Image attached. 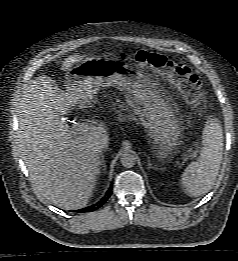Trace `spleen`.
<instances>
[{
    "instance_id": "spleen-1",
    "label": "spleen",
    "mask_w": 238,
    "mask_h": 261,
    "mask_svg": "<svg viewBox=\"0 0 238 261\" xmlns=\"http://www.w3.org/2000/svg\"><path fill=\"white\" fill-rule=\"evenodd\" d=\"M202 137L203 147L198 160L191 162L181 176L182 188L190 197H198L210 191L222 161L223 131L217 118L207 120Z\"/></svg>"
}]
</instances>
